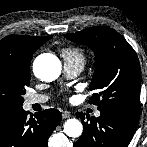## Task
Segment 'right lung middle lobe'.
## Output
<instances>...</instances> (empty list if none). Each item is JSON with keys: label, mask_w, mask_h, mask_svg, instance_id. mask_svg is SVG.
<instances>
[{"label": "right lung middle lobe", "mask_w": 147, "mask_h": 147, "mask_svg": "<svg viewBox=\"0 0 147 147\" xmlns=\"http://www.w3.org/2000/svg\"><path fill=\"white\" fill-rule=\"evenodd\" d=\"M30 71L17 65L0 62V116L22 109Z\"/></svg>", "instance_id": "right-lung-middle-lobe-1"}]
</instances>
